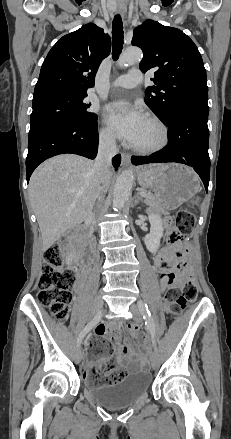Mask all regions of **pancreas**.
Masks as SVG:
<instances>
[{"label": "pancreas", "instance_id": "cf45deb5", "mask_svg": "<svg viewBox=\"0 0 231 439\" xmlns=\"http://www.w3.org/2000/svg\"><path fill=\"white\" fill-rule=\"evenodd\" d=\"M145 193H146V195L144 196V202L147 205L158 208L159 203H158L157 197L154 194H152L151 192H145Z\"/></svg>", "mask_w": 231, "mask_h": 439}]
</instances>
